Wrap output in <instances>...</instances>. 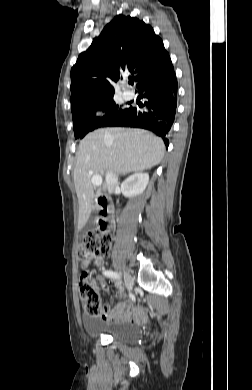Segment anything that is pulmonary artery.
Here are the masks:
<instances>
[{
  "instance_id": "1",
  "label": "pulmonary artery",
  "mask_w": 252,
  "mask_h": 390,
  "mask_svg": "<svg viewBox=\"0 0 252 390\" xmlns=\"http://www.w3.org/2000/svg\"><path fill=\"white\" fill-rule=\"evenodd\" d=\"M123 95L128 100H131L135 97V93L129 88L125 89Z\"/></svg>"
}]
</instances>
